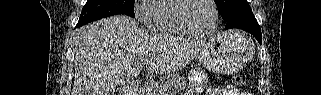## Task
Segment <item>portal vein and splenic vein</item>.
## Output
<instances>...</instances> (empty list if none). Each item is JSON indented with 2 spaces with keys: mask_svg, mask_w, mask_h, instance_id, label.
Listing matches in <instances>:
<instances>
[{
  "mask_svg": "<svg viewBox=\"0 0 321 95\" xmlns=\"http://www.w3.org/2000/svg\"><path fill=\"white\" fill-rule=\"evenodd\" d=\"M145 66V61H140L138 64L139 69L143 68Z\"/></svg>",
  "mask_w": 321,
  "mask_h": 95,
  "instance_id": "obj_1",
  "label": "portal vein and splenic vein"
}]
</instances>
